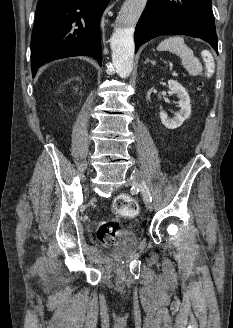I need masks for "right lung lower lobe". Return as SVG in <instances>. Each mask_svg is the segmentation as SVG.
I'll use <instances>...</instances> for the list:
<instances>
[{
    "mask_svg": "<svg viewBox=\"0 0 233 328\" xmlns=\"http://www.w3.org/2000/svg\"><path fill=\"white\" fill-rule=\"evenodd\" d=\"M109 0H39L31 39V68L55 59L91 56L101 65L99 22Z\"/></svg>",
    "mask_w": 233,
    "mask_h": 328,
    "instance_id": "obj_1",
    "label": "right lung lower lobe"
}]
</instances>
